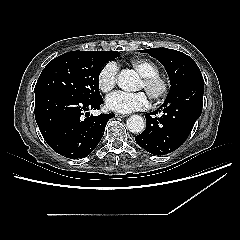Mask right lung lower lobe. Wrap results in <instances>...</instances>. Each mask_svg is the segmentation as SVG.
Masks as SVG:
<instances>
[{
  "label": "right lung lower lobe",
  "mask_w": 240,
  "mask_h": 240,
  "mask_svg": "<svg viewBox=\"0 0 240 240\" xmlns=\"http://www.w3.org/2000/svg\"><path fill=\"white\" fill-rule=\"evenodd\" d=\"M102 97L85 100L62 92L35 94V119L47 144L57 153L78 159L88 156L100 142L113 113L90 115Z\"/></svg>",
  "instance_id": "right-lung-lower-lobe-1"
}]
</instances>
